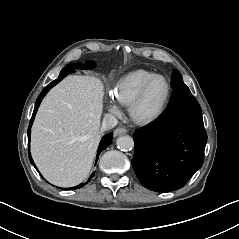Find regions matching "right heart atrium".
<instances>
[{"label": "right heart atrium", "instance_id": "right-heart-atrium-1", "mask_svg": "<svg viewBox=\"0 0 239 239\" xmlns=\"http://www.w3.org/2000/svg\"><path fill=\"white\" fill-rule=\"evenodd\" d=\"M107 108L109 111H111L113 113L119 112V106L115 101H108Z\"/></svg>", "mask_w": 239, "mask_h": 239}]
</instances>
